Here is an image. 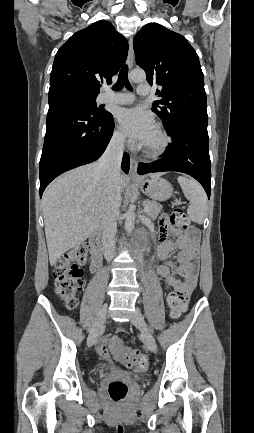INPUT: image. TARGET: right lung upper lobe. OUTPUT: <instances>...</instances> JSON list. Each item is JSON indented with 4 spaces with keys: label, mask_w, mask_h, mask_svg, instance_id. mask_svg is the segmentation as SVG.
<instances>
[{
    "label": "right lung upper lobe",
    "mask_w": 254,
    "mask_h": 433,
    "mask_svg": "<svg viewBox=\"0 0 254 433\" xmlns=\"http://www.w3.org/2000/svg\"><path fill=\"white\" fill-rule=\"evenodd\" d=\"M127 53V40L106 20L76 32L55 56L49 104L69 99H96L101 83H111Z\"/></svg>",
    "instance_id": "cb5924a9"
}]
</instances>
